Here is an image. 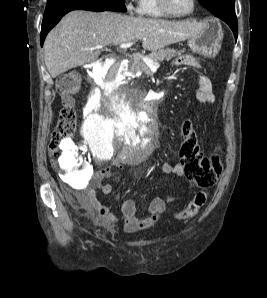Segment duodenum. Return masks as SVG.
Here are the masks:
<instances>
[{"instance_id": "1", "label": "duodenum", "mask_w": 267, "mask_h": 298, "mask_svg": "<svg viewBox=\"0 0 267 298\" xmlns=\"http://www.w3.org/2000/svg\"><path fill=\"white\" fill-rule=\"evenodd\" d=\"M127 64L126 61L118 62L119 67H114V76L116 79H129V74H123V67ZM119 80H111L110 82H106V87H119ZM128 98L132 97L131 93L127 94ZM137 101L142 102V105H146V107H142V112L144 115H156V112H160L162 109V104L158 103V98H147V93H138Z\"/></svg>"}]
</instances>
